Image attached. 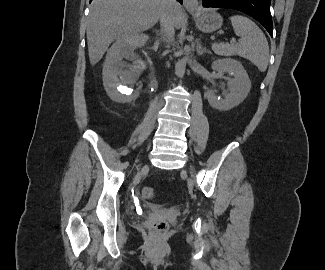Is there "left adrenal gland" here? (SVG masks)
<instances>
[{"label":"left adrenal gland","mask_w":325,"mask_h":270,"mask_svg":"<svg viewBox=\"0 0 325 270\" xmlns=\"http://www.w3.org/2000/svg\"><path fill=\"white\" fill-rule=\"evenodd\" d=\"M196 50L198 55H203L204 53H210L205 47H202L201 42L199 40L197 41Z\"/></svg>","instance_id":"a2214340"}]
</instances>
